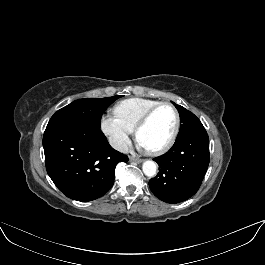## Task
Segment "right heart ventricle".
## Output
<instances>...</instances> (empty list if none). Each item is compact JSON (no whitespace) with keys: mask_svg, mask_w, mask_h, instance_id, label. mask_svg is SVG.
Segmentation results:
<instances>
[{"mask_svg":"<svg viewBox=\"0 0 265 265\" xmlns=\"http://www.w3.org/2000/svg\"><path fill=\"white\" fill-rule=\"evenodd\" d=\"M160 103L158 100L134 97L125 99L117 103L114 108V114L129 128L134 129L138 120L151 107Z\"/></svg>","mask_w":265,"mask_h":265,"instance_id":"1","label":"right heart ventricle"}]
</instances>
